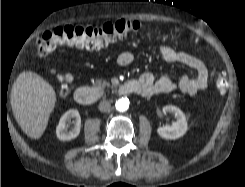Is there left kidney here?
Instances as JSON below:
<instances>
[{
  "mask_svg": "<svg viewBox=\"0 0 245 187\" xmlns=\"http://www.w3.org/2000/svg\"><path fill=\"white\" fill-rule=\"evenodd\" d=\"M162 110L164 114H173L176 121L173 122L172 125L159 127L157 130L158 135L169 140H175L182 137L188 129L185 114L178 107L173 105H166Z\"/></svg>",
  "mask_w": 245,
  "mask_h": 187,
  "instance_id": "left-kidney-1",
  "label": "left kidney"
}]
</instances>
